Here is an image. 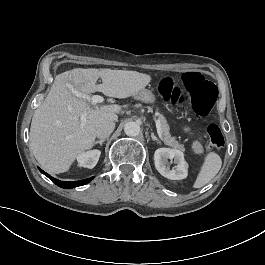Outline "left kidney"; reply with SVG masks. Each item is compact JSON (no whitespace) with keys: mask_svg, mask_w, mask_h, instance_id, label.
Returning a JSON list of instances; mask_svg holds the SVG:
<instances>
[{"mask_svg":"<svg viewBox=\"0 0 265 265\" xmlns=\"http://www.w3.org/2000/svg\"><path fill=\"white\" fill-rule=\"evenodd\" d=\"M168 159L174 160L176 166L170 170ZM155 168L164 177L171 180L185 179L188 175V163L184 154L178 149L159 148L154 153Z\"/></svg>","mask_w":265,"mask_h":265,"instance_id":"5707ae66","label":"left kidney"}]
</instances>
